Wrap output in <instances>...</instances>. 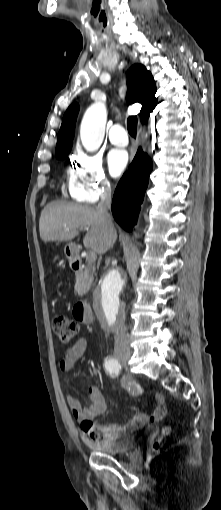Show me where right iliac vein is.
I'll return each mask as SVG.
<instances>
[{
    "label": "right iliac vein",
    "instance_id": "63e3f726",
    "mask_svg": "<svg viewBox=\"0 0 221 510\" xmlns=\"http://www.w3.org/2000/svg\"><path fill=\"white\" fill-rule=\"evenodd\" d=\"M130 357V353H122L117 356L120 362H126Z\"/></svg>",
    "mask_w": 221,
    "mask_h": 510
}]
</instances>
